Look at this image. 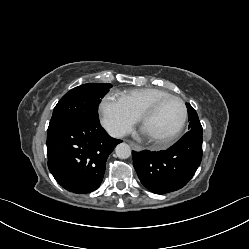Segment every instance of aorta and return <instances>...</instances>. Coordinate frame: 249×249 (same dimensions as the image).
<instances>
[{
	"instance_id": "obj_1",
	"label": "aorta",
	"mask_w": 249,
	"mask_h": 249,
	"mask_svg": "<svg viewBox=\"0 0 249 249\" xmlns=\"http://www.w3.org/2000/svg\"><path fill=\"white\" fill-rule=\"evenodd\" d=\"M116 156L120 159H127L131 156V148L126 143H120L115 148Z\"/></svg>"
}]
</instances>
